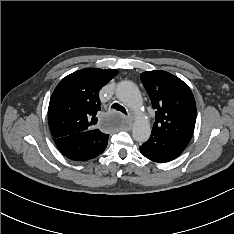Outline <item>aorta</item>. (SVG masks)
I'll use <instances>...</instances> for the list:
<instances>
[{
  "mask_svg": "<svg viewBox=\"0 0 234 234\" xmlns=\"http://www.w3.org/2000/svg\"><path fill=\"white\" fill-rule=\"evenodd\" d=\"M117 98L135 113H139L142 106L141 94L137 86L131 81H122L116 88ZM133 138L139 142H146L151 134V127L147 118L137 115L133 129Z\"/></svg>",
  "mask_w": 234,
  "mask_h": 234,
  "instance_id": "obj_1",
  "label": "aorta"
}]
</instances>
